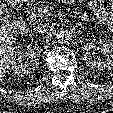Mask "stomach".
I'll list each match as a JSON object with an SVG mask.
<instances>
[{
  "label": "stomach",
  "mask_w": 113,
  "mask_h": 113,
  "mask_svg": "<svg viewBox=\"0 0 113 113\" xmlns=\"http://www.w3.org/2000/svg\"><path fill=\"white\" fill-rule=\"evenodd\" d=\"M20 1H22V2H31L33 0H20Z\"/></svg>",
  "instance_id": "1"
}]
</instances>
